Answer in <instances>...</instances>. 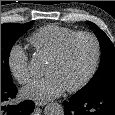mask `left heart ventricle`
<instances>
[{
  "label": "left heart ventricle",
  "mask_w": 115,
  "mask_h": 115,
  "mask_svg": "<svg viewBox=\"0 0 115 115\" xmlns=\"http://www.w3.org/2000/svg\"><path fill=\"white\" fill-rule=\"evenodd\" d=\"M94 44L91 39L81 37L68 48L64 57L58 61H48L46 75H55L65 87L78 84L89 72L94 60Z\"/></svg>",
  "instance_id": "obj_1"
}]
</instances>
